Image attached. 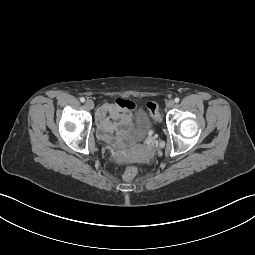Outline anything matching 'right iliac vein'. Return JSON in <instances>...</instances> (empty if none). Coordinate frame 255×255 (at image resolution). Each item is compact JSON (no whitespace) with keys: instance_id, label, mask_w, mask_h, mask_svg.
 <instances>
[{"instance_id":"right-iliac-vein-1","label":"right iliac vein","mask_w":255,"mask_h":255,"mask_svg":"<svg viewBox=\"0 0 255 255\" xmlns=\"http://www.w3.org/2000/svg\"><path fill=\"white\" fill-rule=\"evenodd\" d=\"M85 106L88 108V109H93L94 108V102L92 100H86L85 102Z\"/></svg>"}]
</instances>
